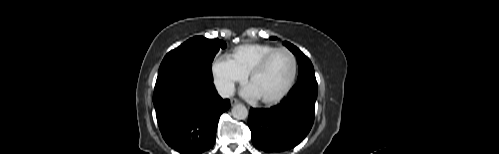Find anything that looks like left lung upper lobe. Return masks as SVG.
<instances>
[{"label":"left lung upper lobe","mask_w":499,"mask_h":154,"mask_svg":"<svg viewBox=\"0 0 499 154\" xmlns=\"http://www.w3.org/2000/svg\"><path fill=\"white\" fill-rule=\"evenodd\" d=\"M271 39H276L272 37ZM283 44L290 50L294 55H296L298 66H299V75L298 81L304 79L316 80L314 68L307 56H305L296 46L285 41Z\"/></svg>","instance_id":"1"}]
</instances>
